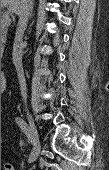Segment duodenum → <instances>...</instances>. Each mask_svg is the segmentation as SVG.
Segmentation results:
<instances>
[{
    "mask_svg": "<svg viewBox=\"0 0 109 170\" xmlns=\"http://www.w3.org/2000/svg\"><path fill=\"white\" fill-rule=\"evenodd\" d=\"M7 87L6 76L4 73H1V89L5 90Z\"/></svg>",
    "mask_w": 109,
    "mask_h": 170,
    "instance_id": "obj_1",
    "label": "duodenum"
}]
</instances>
